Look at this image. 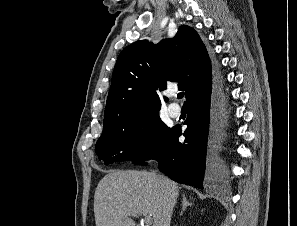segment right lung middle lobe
I'll return each instance as SVG.
<instances>
[{
	"instance_id": "1",
	"label": "right lung middle lobe",
	"mask_w": 297,
	"mask_h": 226,
	"mask_svg": "<svg viewBox=\"0 0 297 226\" xmlns=\"http://www.w3.org/2000/svg\"><path fill=\"white\" fill-rule=\"evenodd\" d=\"M157 111H142L125 117L115 113L106 115L102 135L95 146L99 159L110 164L130 160L137 162L148 156L171 129L158 114H154Z\"/></svg>"
}]
</instances>
